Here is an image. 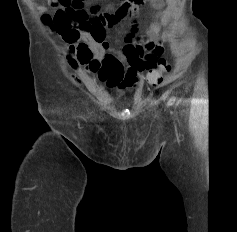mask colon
<instances>
[{
  "label": "colon",
  "mask_w": 237,
  "mask_h": 232,
  "mask_svg": "<svg viewBox=\"0 0 237 232\" xmlns=\"http://www.w3.org/2000/svg\"><path fill=\"white\" fill-rule=\"evenodd\" d=\"M55 13L44 16V21L54 27L64 39H73L81 34L99 33L104 29L105 18L99 15L100 7L90 9L91 14L98 15L90 17L85 10V0H50ZM145 0H123L110 14L125 16L135 10ZM170 64L166 59H160L156 68L150 70L147 80L152 85H160L163 82V74L170 71Z\"/></svg>",
  "instance_id": "1"
}]
</instances>
